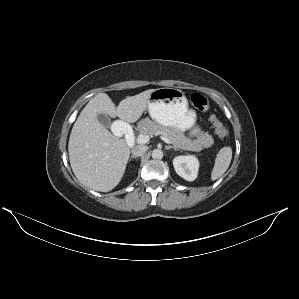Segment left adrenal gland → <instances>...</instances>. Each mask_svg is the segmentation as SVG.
Returning <instances> with one entry per match:
<instances>
[{"instance_id": "1", "label": "left adrenal gland", "mask_w": 299, "mask_h": 299, "mask_svg": "<svg viewBox=\"0 0 299 299\" xmlns=\"http://www.w3.org/2000/svg\"><path fill=\"white\" fill-rule=\"evenodd\" d=\"M165 149L169 150V149H174L177 150V148L173 147V146H165Z\"/></svg>"}]
</instances>
